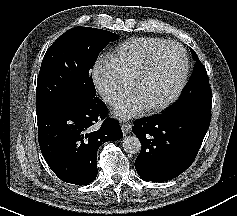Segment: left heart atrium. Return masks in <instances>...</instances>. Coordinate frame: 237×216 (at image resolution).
I'll use <instances>...</instances> for the list:
<instances>
[{
    "instance_id": "39dd6f15",
    "label": "left heart atrium",
    "mask_w": 237,
    "mask_h": 216,
    "mask_svg": "<svg viewBox=\"0 0 237 216\" xmlns=\"http://www.w3.org/2000/svg\"><path fill=\"white\" fill-rule=\"evenodd\" d=\"M142 113V106L132 98L121 100L112 108V117L117 121L130 122Z\"/></svg>"
}]
</instances>
